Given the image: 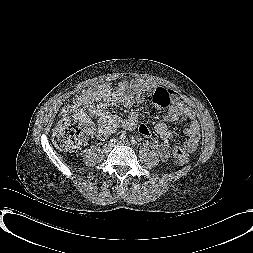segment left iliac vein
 <instances>
[{
  "label": "left iliac vein",
  "mask_w": 253,
  "mask_h": 253,
  "mask_svg": "<svg viewBox=\"0 0 253 253\" xmlns=\"http://www.w3.org/2000/svg\"><path fill=\"white\" fill-rule=\"evenodd\" d=\"M124 145H130L128 141L123 142Z\"/></svg>",
  "instance_id": "4c4485c4"
}]
</instances>
